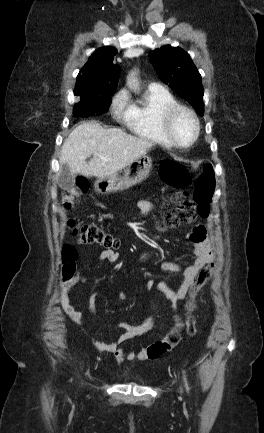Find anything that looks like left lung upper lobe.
<instances>
[{
  "label": "left lung upper lobe",
  "instance_id": "1",
  "mask_svg": "<svg viewBox=\"0 0 264 433\" xmlns=\"http://www.w3.org/2000/svg\"><path fill=\"white\" fill-rule=\"evenodd\" d=\"M149 57L160 79L186 99L200 116H203L201 75L188 53L179 47L166 45L151 52Z\"/></svg>",
  "mask_w": 264,
  "mask_h": 433
}]
</instances>
